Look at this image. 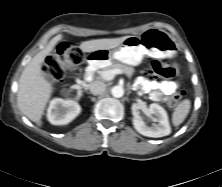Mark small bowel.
<instances>
[{"label":"small bowel","instance_id":"c3829d8e","mask_svg":"<svg viewBox=\"0 0 222 187\" xmlns=\"http://www.w3.org/2000/svg\"><path fill=\"white\" fill-rule=\"evenodd\" d=\"M137 84L140 89L148 93L150 99L155 102L166 101L178 86L175 81H157L143 77L138 79Z\"/></svg>","mask_w":222,"mask_h":187}]
</instances>
